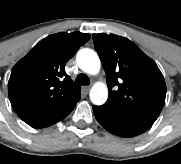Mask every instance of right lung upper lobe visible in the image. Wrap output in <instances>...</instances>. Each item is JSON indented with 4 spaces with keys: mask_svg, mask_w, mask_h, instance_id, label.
I'll use <instances>...</instances> for the list:
<instances>
[{
    "mask_svg": "<svg viewBox=\"0 0 181 164\" xmlns=\"http://www.w3.org/2000/svg\"><path fill=\"white\" fill-rule=\"evenodd\" d=\"M89 38V34L81 32L48 36L13 67L8 95L23 121L53 124L73 110L80 100L81 88L64 67Z\"/></svg>",
    "mask_w": 181,
    "mask_h": 164,
    "instance_id": "cb5924a9",
    "label": "right lung upper lobe"
}]
</instances>
